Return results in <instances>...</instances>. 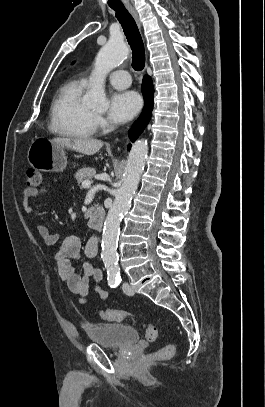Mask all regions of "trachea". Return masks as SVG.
I'll return each instance as SVG.
<instances>
[{
    "mask_svg": "<svg viewBox=\"0 0 265 407\" xmlns=\"http://www.w3.org/2000/svg\"><path fill=\"white\" fill-rule=\"evenodd\" d=\"M132 49V66L141 71L145 66V49L142 37L132 15L124 6L112 7Z\"/></svg>",
    "mask_w": 265,
    "mask_h": 407,
    "instance_id": "1",
    "label": "trachea"
}]
</instances>
